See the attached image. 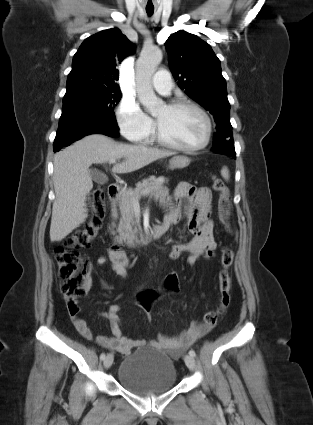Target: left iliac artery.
Returning a JSON list of instances; mask_svg holds the SVG:
<instances>
[{"mask_svg":"<svg viewBox=\"0 0 313 425\" xmlns=\"http://www.w3.org/2000/svg\"><path fill=\"white\" fill-rule=\"evenodd\" d=\"M189 355H191V356L195 357V356H196V353H195V351H194V350H190V351H189Z\"/></svg>","mask_w":313,"mask_h":425,"instance_id":"1","label":"left iliac artery"}]
</instances>
